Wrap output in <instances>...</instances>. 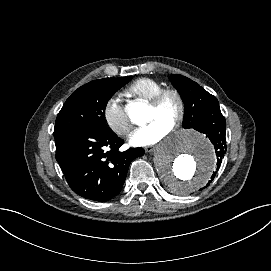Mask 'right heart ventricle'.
Returning <instances> with one entry per match:
<instances>
[{"label": "right heart ventricle", "instance_id": "obj_1", "mask_svg": "<svg viewBox=\"0 0 271 271\" xmlns=\"http://www.w3.org/2000/svg\"><path fill=\"white\" fill-rule=\"evenodd\" d=\"M162 88L161 82L153 78L143 77L130 84L126 92L139 100L149 102Z\"/></svg>", "mask_w": 271, "mask_h": 271}]
</instances>
